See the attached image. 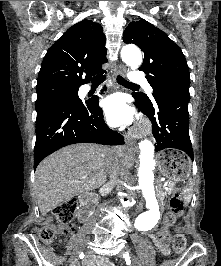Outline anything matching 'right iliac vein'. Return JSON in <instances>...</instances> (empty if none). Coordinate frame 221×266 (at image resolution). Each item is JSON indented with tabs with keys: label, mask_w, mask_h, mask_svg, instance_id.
I'll use <instances>...</instances> for the list:
<instances>
[{
	"label": "right iliac vein",
	"mask_w": 221,
	"mask_h": 266,
	"mask_svg": "<svg viewBox=\"0 0 221 266\" xmlns=\"http://www.w3.org/2000/svg\"><path fill=\"white\" fill-rule=\"evenodd\" d=\"M84 248H85V244H82L81 246H79L75 250V252H74V254H73L72 258H71V261H70V265L69 266H76L77 258L79 256V254L84 250Z\"/></svg>",
	"instance_id": "1"
}]
</instances>
